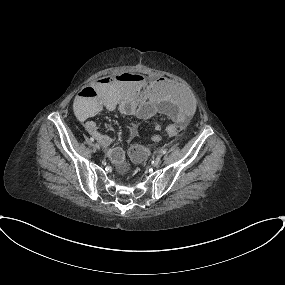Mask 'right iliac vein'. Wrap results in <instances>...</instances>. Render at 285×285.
Wrapping results in <instances>:
<instances>
[{"label":"right iliac vein","instance_id":"63e3f726","mask_svg":"<svg viewBox=\"0 0 285 285\" xmlns=\"http://www.w3.org/2000/svg\"><path fill=\"white\" fill-rule=\"evenodd\" d=\"M94 146H95V148H96L97 150H99V149L101 148V146H100V144H99L98 142H96V143L94 144Z\"/></svg>","mask_w":285,"mask_h":285}]
</instances>
